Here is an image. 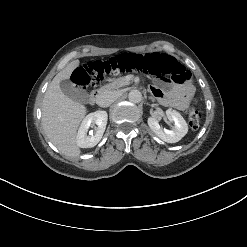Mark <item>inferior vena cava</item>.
<instances>
[{
	"label": "inferior vena cava",
	"instance_id": "inferior-vena-cava-1",
	"mask_svg": "<svg viewBox=\"0 0 247 247\" xmlns=\"http://www.w3.org/2000/svg\"><path fill=\"white\" fill-rule=\"evenodd\" d=\"M118 98V94L114 91H106L102 93L97 100V104L101 107L110 106L116 99Z\"/></svg>",
	"mask_w": 247,
	"mask_h": 247
}]
</instances>
